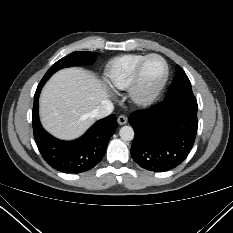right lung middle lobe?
<instances>
[{"label": "right lung middle lobe", "mask_w": 233, "mask_h": 233, "mask_svg": "<svg viewBox=\"0 0 233 233\" xmlns=\"http://www.w3.org/2000/svg\"><path fill=\"white\" fill-rule=\"evenodd\" d=\"M96 55V52H73L63 57L50 67L39 84H45V82L52 76V74L62 68L80 64H90Z\"/></svg>", "instance_id": "obj_1"}]
</instances>
